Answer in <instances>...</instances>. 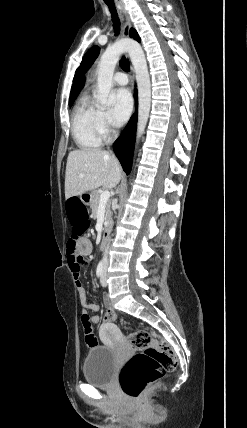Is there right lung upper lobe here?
<instances>
[{
    "label": "right lung upper lobe",
    "instance_id": "cb5924a9",
    "mask_svg": "<svg viewBox=\"0 0 247 428\" xmlns=\"http://www.w3.org/2000/svg\"><path fill=\"white\" fill-rule=\"evenodd\" d=\"M130 36L133 37L135 40L140 42V37L138 36L136 30H134L133 28H131V30H130ZM83 85H84V81L81 80L80 78H77L74 80V83H73L72 88H71L69 104H71V103L73 104V102L76 99V97L78 96L80 90L83 88Z\"/></svg>",
    "mask_w": 247,
    "mask_h": 428
}]
</instances>
